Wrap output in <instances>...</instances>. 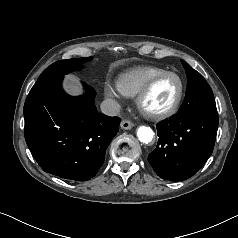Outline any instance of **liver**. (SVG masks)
Masks as SVG:
<instances>
[{"label":"liver","mask_w":238,"mask_h":238,"mask_svg":"<svg viewBox=\"0 0 238 238\" xmlns=\"http://www.w3.org/2000/svg\"><path fill=\"white\" fill-rule=\"evenodd\" d=\"M65 88L69 93L74 95L80 94L82 92L79 85L72 78H70L69 81H67Z\"/></svg>","instance_id":"obj_1"}]
</instances>
